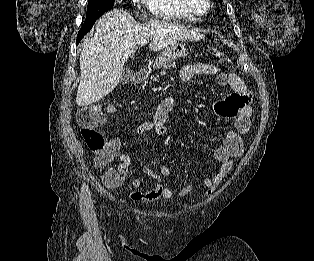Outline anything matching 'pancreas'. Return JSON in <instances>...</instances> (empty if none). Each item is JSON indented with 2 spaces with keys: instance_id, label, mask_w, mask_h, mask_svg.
I'll use <instances>...</instances> for the list:
<instances>
[{
  "instance_id": "obj_1",
  "label": "pancreas",
  "mask_w": 314,
  "mask_h": 261,
  "mask_svg": "<svg viewBox=\"0 0 314 261\" xmlns=\"http://www.w3.org/2000/svg\"><path fill=\"white\" fill-rule=\"evenodd\" d=\"M175 67V62L173 61H167L166 63L163 64V71L160 72L161 75H165L166 70H168L170 67ZM157 77H159L158 75H156V77H153V81L157 80Z\"/></svg>"
}]
</instances>
